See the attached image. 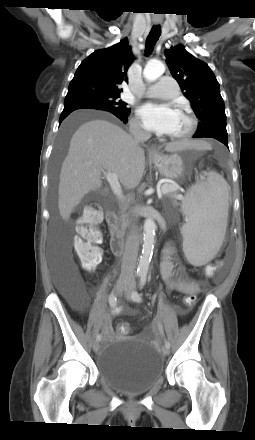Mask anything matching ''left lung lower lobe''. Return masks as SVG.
<instances>
[{"label":"left lung lower lobe","mask_w":255,"mask_h":440,"mask_svg":"<svg viewBox=\"0 0 255 440\" xmlns=\"http://www.w3.org/2000/svg\"><path fill=\"white\" fill-rule=\"evenodd\" d=\"M194 138H202V137H208V138H214L223 144H225L228 147V138L227 135L218 134V133H205V134H195L193 136Z\"/></svg>","instance_id":"obj_1"}]
</instances>
